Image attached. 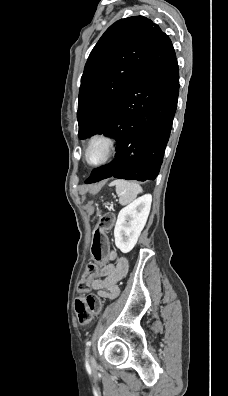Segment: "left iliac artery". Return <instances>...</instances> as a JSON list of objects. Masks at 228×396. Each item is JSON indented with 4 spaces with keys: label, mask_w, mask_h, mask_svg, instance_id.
Masks as SVG:
<instances>
[{
    "label": "left iliac artery",
    "mask_w": 228,
    "mask_h": 396,
    "mask_svg": "<svg viewBox=\"0 0 228 396\" xmlns=\"http://www.w3.org/2000/svg\"><path fill=\"white\" fill-rule=\"evenodd\" d=\"M86 345H87V351H88V349H89V347L91 345V341H88Z\"/></svg>",
    "instance_id": "1"
}]
</instances>
